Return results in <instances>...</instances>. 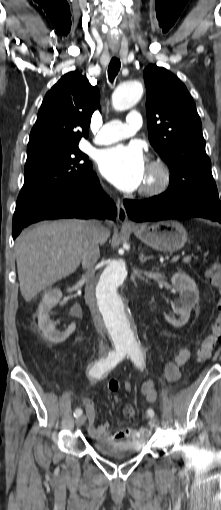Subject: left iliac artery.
Returning a JSON list of instances; mask_svg holds the SVG:
<instances>
[{"instance_id":"44dca946","label":"left iliac artery","mask_w":221,"mask_h":510,"mask_svg":"<svg viewBox=\"0 0 221 510\" xmlns=\"http://www.w3.org/2000/svg\"><path fill=\"white\" fill-rule=\"evenodd\" d=\"M125 353H127L130 356L131 360L137 367L141 368L144 366L145 364L144 353L142 349L139 347V345L137 344L131 345L129 349L125 351ZM147 414L149 417H154L155 415L154 410L151 408L147 410Z\"/></svg>"}]
</instances>
